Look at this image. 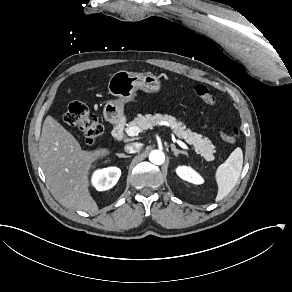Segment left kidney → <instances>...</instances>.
Wrapping results in <instances>:
<instances>
[{"instance_id":"5707ae66","label":"left kidney","mask_w":292,"mask_h":292,"mask_svg":"<svg viewBox=\"0 0 292 292\" xmlns=\"http://www.w3.org/2000/svg\"><path fill=\"white\" fill-rule=\"evenodd\" d=\"M177 174L184 180H187L192 183L200 184L202 183V179L199 175H197L193 170L190 168L179 167L177 169Z\"/></svg>"}]
</instances>
